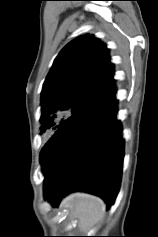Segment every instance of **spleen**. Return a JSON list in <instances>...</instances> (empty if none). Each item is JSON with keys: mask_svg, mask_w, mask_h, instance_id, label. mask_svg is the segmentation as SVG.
I'll return each instance as SVG.
<instances>
[{"mask_svg": "<svg viewBox=\"0 0 158 237\" xmlns=\"http://www.w3.org/2000/svg\"><path fill=\"white\" fill-rule=\"evenodd\" d=\"M65 205L69 208L72 217L78 219V227L83 233L98 224L105 214L104 202L84 193L71 196Z\"/></svg>", "mask_w": 158, "mask_h": 237, "instance_id": "obj_1", "label": "spleen"}]
</instances>
